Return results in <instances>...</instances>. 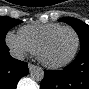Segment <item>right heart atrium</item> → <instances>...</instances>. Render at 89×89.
<instances>
[{
	"label": "right heart atrium",
	"instance_id": "obj_1",
	"mask_svg": "<svg viewBox=\"0 0 89 89\" xmlns=\"http://www.w3.org/2000/svg\"><path fill=\"white\" fill-rule=\"evenodd\" d=\"M5 42L12 53L17 56H22L26 53L32 52L30 46L14 32H8L5 37Z\"/></svg>",
	"mask_w": 89,
	"mask_h": 89
}]
</instances>
